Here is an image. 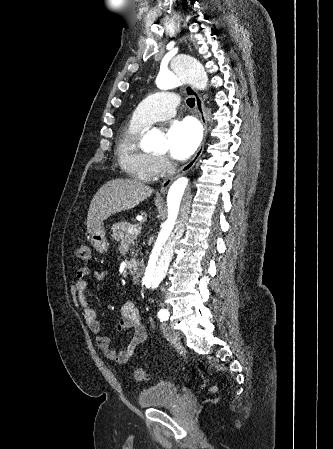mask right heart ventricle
I'll return each instance as SVG.
<instances>
[{"instance_id":"right-heart-ventricle-1","label":"right heart ventricle","mask_w":333,"mask_h":449,"mask_svg":"<svg viewBox=\"0 0 333 449\" xmlns=\"http://www.w3.org/2000/svg\"><path fill=\"white\" fill-rule=\"evenodd\" d=\"M148 126L132 118L118 135L116 153L121 166L135 179L150 181L157 177L154 155L141 146Z\"/></svg>"}]
</instances>
